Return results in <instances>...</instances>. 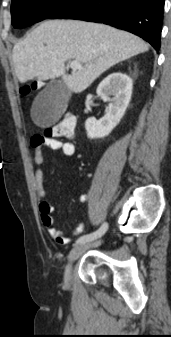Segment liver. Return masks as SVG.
Wrapping results in <instances>:
<instances>
[{"label": "liver", "instance_id": "1", "mask_svg": "<svg viewBox=\"0 0 171 337\" xmlns=\"http://www.w3.org/2000/svg\"><path fill=\"white\" fill-rule=\"evenodd\" d=\"M146 51L141 38L108 25L48 20L14 45L12 58L20 83L61 77L69 91L80 93L110 67ZM70 59L82 65L72 75L65 72Z\"/></svg>", "mask_w": 171, "mask_h": 337}]
</instances>
